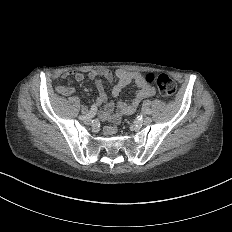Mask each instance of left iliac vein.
<instances>
[{
	"mask_svg": "<svg viewBox=\"0 0 232 232\" xmlns=\"http://www.w3.org/2000/svg\"><path fill=\"white\" fill-rule=\"evenodd\" d=\"M144 123H145L146 125L151 124V123H152V118H151V117H146L145 120H144Z\"/></svg>",
	"mask_w": 232,
	"mask_h": 232,
	"instance_id": "left-iliac-vein-1",
	"label": "left iliac vein"
}]
</instances>
